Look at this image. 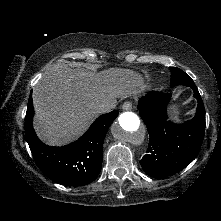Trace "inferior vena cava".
<instances>
[{
	"label": "inferior vena cava",
	"mask_w": 221,
	"mask_h": 221,
	"mask_svg": "<svg viewBox=\"0 0 221 221\" xmlns=\"http://www.w3.org/2000/svg\"><path fill=\"white\" fill-rule=\"evenodd\" d=\"M114 107V103L105 102L98 106L97 112L99 114L110 112Z\"/></svg>",
	"instance_id": "obj_1"
}]
</instances>
